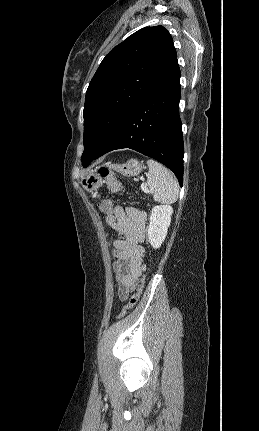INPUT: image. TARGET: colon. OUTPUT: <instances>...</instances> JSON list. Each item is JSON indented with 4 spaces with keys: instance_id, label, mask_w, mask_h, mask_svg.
<instances>
[{
    "instance_id": "obj_1",
    "label": "colon",
    "mask_w": 259,
    "mask_h": 431,
    "mask_svg": "<svg viewBox=\"0 0 259 431\" xmlns=\"http://www.w3.org/2000/svg\"><path fill=\"white\" fill-rule=\"evenodd\" d=\"M98 175L99 177L104 180L108 186V188L112 192H119L121 190V185L118 182V180L115 177V174L111 171V169L107 165H102L98 168ZM117 206H120V203H117ZM99 209L103 213H109L113 214L112 208L113 203L110 200H103L98 205ZM115 211H118V208H115ZM145 275L140 279V282L132 294V296L129 298L128 302L124 306L122 312L119 314L118 318L124 317L129 311H131L139 301L140 295L142 293V287L144 283Z\"/></svg>"
}]
</instances>
